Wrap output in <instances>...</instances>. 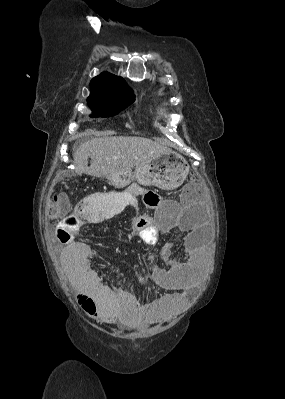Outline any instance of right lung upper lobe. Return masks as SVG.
Masks as SVG:
<instances>
[{"label": "right lung upper lobe", "instance_id": "obj_1", "mask_svg": "<svg viewBox=\"0 0 285 399\" xmlns=\"http://www.w3.org/2000/svg\"><path fill=\"white\" fill-rule=\"evenodd\" d=\"M91 91L87 100H111L133 97V93L121 77L102 73L91 80Z\"/></svg>", "mask_w": 285, "mask_h": 399}]
</instances>
